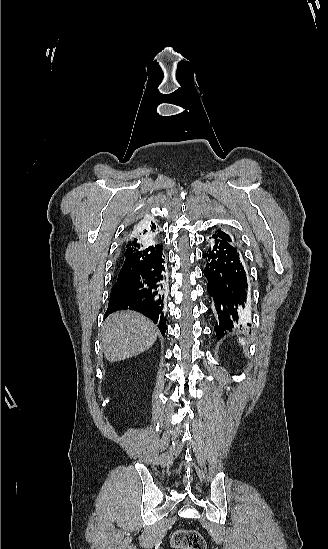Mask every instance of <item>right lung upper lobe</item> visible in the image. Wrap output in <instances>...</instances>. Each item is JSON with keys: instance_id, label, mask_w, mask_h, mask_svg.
Returning <instances> with one entry per match:
<instances>
[{"instance_id": "obj_1", "label": "right lung upper lobe", "mask_w": 328, "mask_h": 549, "mask_svg": "<svg viewBox=\"0 0 328 549\" xmlns=\"http://www.w3.org/2000/svg\"><path fill=\"white\" fill-rule=\"evenodd\" d=\"M159 227L149 218H142L128 231L118 258V278H125L162 252Z\"/></svg>"}]
</instances>
